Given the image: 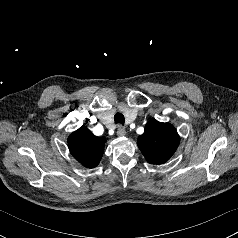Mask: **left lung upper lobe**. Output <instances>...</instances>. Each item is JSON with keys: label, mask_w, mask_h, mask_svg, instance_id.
Instances as JSON below:
<instances>
[{"label": "left lung upper lobe", "mask_w": 238, "mask_h": 238, "mask_svg": "<svg viewBox=\"0 0 238 238\" xmlns=\"http://www.w3.org/2000/svg\"><path fill=\"white\" fill-rule=\"evenodd\" d=\"M180 137L172 124L151 119L138 137L137 145L151 164L167 162L178 148Z\"/></svg>", "instance_id": "5c2ea615"}]
</instances>
